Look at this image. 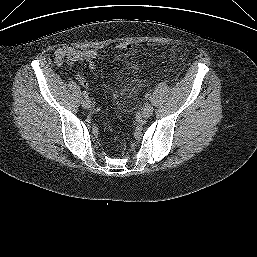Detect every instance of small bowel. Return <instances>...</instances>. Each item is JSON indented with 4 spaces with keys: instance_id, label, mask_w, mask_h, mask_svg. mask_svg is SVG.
Masks as SVG:
<instances>
[{
    "instance_id": "1",
    "label": "small bowel",
    "mask_w": 257,
    "mask_h": 257,
    "mask_svg": "<svg viewBox=\"0 0 257 257\" xmlns=\"http://www.w3.org/2000/svg\"><path fill=\"white\" fill-rule=\"evenodd\" d=\"M135 52L132 53H124L117 57L118 60L124 62L126 64V70H128L134 78H137L139 67L137 63L132 61ZM98 58V53L95 50H78L72 47H62L58 48L54 53V62L57 66H62L63 64H67L72 66L78 62H87L89 68L93 70L95 68V60ZM76 80L78 83L84 87L88 86V82L83 75H76Z\"/></svg>"
}]
</instances>
